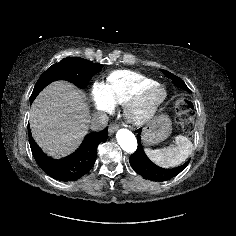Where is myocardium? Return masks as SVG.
<instances>
[{"label": "myocardium", "mask_w": 236, "mask_h": 236, "mask_svg": "<svg viewBox=\"0 0 236 236\" xmlns=\"http://www.w3.org/2000/svg\"><path fill=\"white\" fill-rule=\"evenodd\" d=\"M167 98L164 85L156 82L138 91L124 104V116L134 126L148 123Z\"/></svg>", "instance_id": "myocardium-1"}]
</instances>
